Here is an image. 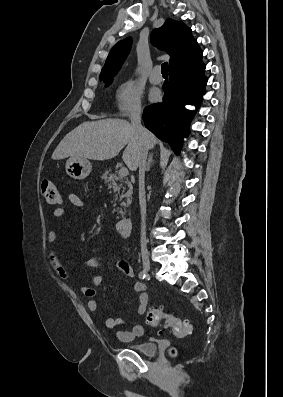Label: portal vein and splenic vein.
Returning <instances> with one entry per match:
<instances>
[{
	"label": "portal vein and splenic vein",
	"instance_id": "18ae733b",
	"mask_svg": "<svg viewBox=\"0 0 283 397\" xmlns=\"http://www.w3.org/2000/svg\"><path fill=\"white\" fill-rule=\"evenodd\" d=\"M119 175L121 177H125L128 175V169L126 167H121L119 170Z\"/></svg>",
	"mask_w": 283,
	"mask_h": 397
}]
</instances>
